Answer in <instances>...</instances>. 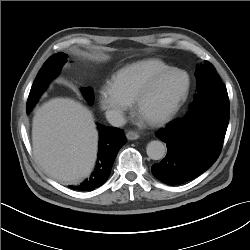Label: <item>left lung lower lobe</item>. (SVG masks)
<instances>
[{"instance_id": "left-lung-lower-lobe-1", "label": "left lung lower lobe", "mask_w": 250, "mask_h": 250, "mask_svg": "<svg viewBox=\"0 0 250 250\" xmlns=\"http://www.w3.org/2000/svg\"><path fill=\"white\" fill-rule=\"evenodd\" d=\"M228 123L226 87L221 85L201 93L183 117L156 133L166 143L167 154L152 166V173L169 185L198 177L219 157Z\"/></svg>"}]
</instances>
